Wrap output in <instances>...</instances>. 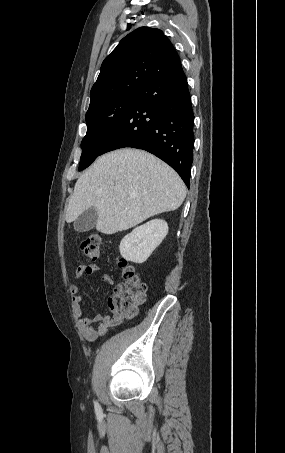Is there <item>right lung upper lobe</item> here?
<instances>
[{
	"instance_id": "1",
	"label": "right lung upper lobe",
	"mask_w": 285,
	"mask_h": 453,
	"mask_svg": "<svg viewBox=\"0 0 285 453\" xmlns=\"http://www.w3.org/2000/svg\"><path fill=\"white\" fill-rule=\"evenodd\" d=\"M181 64L170 40L159 29L140 27L108 55L90 92L89 109L125 93L140 91L153 77Z\"/></svg>"
}]
</instances>
